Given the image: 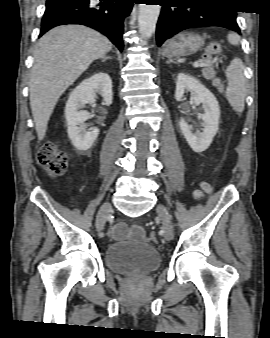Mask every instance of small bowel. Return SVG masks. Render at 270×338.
I'll list each match as a JSON object with an SVG mask.
<instances>
[{
	"label": "small bowel",
	"mask_w": 270,
	"mask_h": 338,
	"mask_svg": "<svg viewBox=\"0 0 270 338\" xmlns=\"http://www.w3.org/2000/svg\"><path fill=\"white\" fill-rule=\"evenodd\" d=\"M126 233V229L118 226L113 231V236H120ZM131 237L135 240H141L143 237V233L140 227H133L131 232Z\"/></svg>",
	"instance_id": "1"
}]
</instances>
